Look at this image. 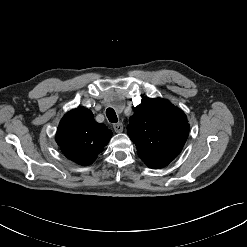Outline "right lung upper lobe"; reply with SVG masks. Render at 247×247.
<instances>
[{"label": "right lung upper lobe", "mask_w": 247, "mask_h": 247, "mask_svg": "<svg viewBox=\"0 0 247 247\" xmlns=\"http://www.w3.org/2000/svg\"><path fill=\"white\" fill-rule=\"evenodd\" d=\"M111 136V130L105 124L97 123L89 109L78 107L60 121L56 142L68 159L90 165L103 152Z\"/></svg>", "instance_id": "cb5924a9"}]
</instances>
